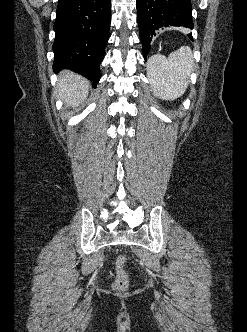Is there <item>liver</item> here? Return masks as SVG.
Instances as JSON below:
<instances>
[{"label": "liver", "mask_w": 247, "mask_h": 332, "mask_svg": "<svg viewBox=\"0 0 247 332\" xmlns=\"http://www.w3.org/2000/svg\"><path fill=\"white\" fill-rule=\"evenodd\" d=\"M89 88V81L84 77L65 71L59 76L56 92L65 104L77 107L86 99Z\"/></svg>", "instance_id": "liver-1"}]
</instances>
